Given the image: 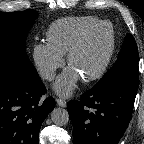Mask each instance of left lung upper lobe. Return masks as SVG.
Instances as JSON below:
<instances>
[{"label":"left lung upper lobe","mask_w":144,"mask_h":144,"mask_svg":"<svg viewBox=\"0 0 144 144\" xmlns=\"http://www.w3.org/2000/svg\"><path fill=\"white\" fill-rule=\"evenodd\" d=\"M133 82H138V51L135 39L127 34L116 63L97 84L113 88Z\"/></svg>","instance_id":"obj_1"}]
</instances>
